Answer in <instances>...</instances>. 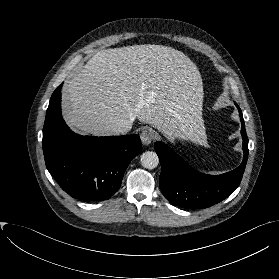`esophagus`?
<instances>
[{"instance_id":"obj_1","label":"esophagus","mask_w":279,"mask_h":279,"mask_svg":"<svg viewBox=\"0 0 279 279\" xmlns=\"http://www.w3.org/2000/svg\"><path fill=\"white\" fill-rule=\"evenodd\" d=\"M141 142L149 145L155 138V133L150 127H145L140 134Z\"/></svg>"}]
</instances>
